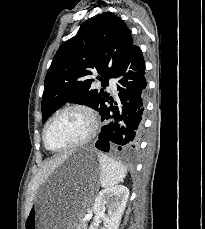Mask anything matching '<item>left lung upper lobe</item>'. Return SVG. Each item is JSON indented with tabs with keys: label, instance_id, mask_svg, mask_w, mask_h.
I'll list each match as a JSON object with an SVG mask.
<instances>
[{
	"label": "left lung upper lobe",
	"instance_id": "1",
	"mask_svg": "<svg viewBox=\"0 0 205 229\" xmlns=\"http://www.w3.org/2000/svg\"><path fill=\"white\" fill-rule=\"evenodd\" d=\"M133 44L131 30L115 14L104 12L86 20L58 49L46 74L42 121L67 102L87 105L101 113L109 94L90 90L93 79L89 77L98 72L101 76L97 78L106 87Z\"/></svg>",
	"mask_w": 205,
	"mask_h": 229
}]
</instances>
